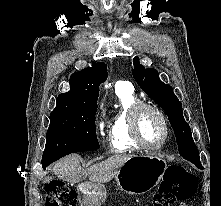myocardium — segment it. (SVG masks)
<instances>
[{
    "label": "myocardium",
    "instance_id": "f54148a6",
    "mask_svg": "<svg viewBox=\"0 0 221 206\" xmlns=\"http://www.w3.org/2000/svg\"><path fill=\"white\" fill-rule=\"evenodd\" d=\"M143 109H148L154 112L162 122L164 134H163L162 141L157 145L147 144L141 136V133L139 130V115ZM129 127H130V132H131L133 141L140 148L145 149V150L157 151V150L162 149L164 145L166 144L168 137H169V125H168V121H167L165 114L156 105L148 103V102L138 101L131 107L130 113H129Z\"/></svg>",
    "mask_w": 221,
    "mask_h": 206
}]
</instances>
